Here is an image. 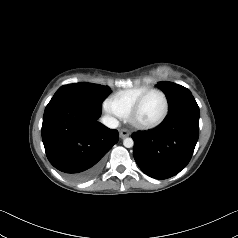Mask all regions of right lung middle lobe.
I'll return each instance as SVG.
<instances>
[{"label":"right lung middle lobe","instance_id":"obj_1","mask_svg":"<svg viewBox=\"0 0 238 238\" xmlns=\"http://www.w3.org/2000/svg\"><path fill=\"white\" fill-rule=\"evenodd\" d=\"M111 89L88 83L68 84L60 87L53 97L71 96L84 102L101 106Z\"/></svg>","mask_w":238,"mask_h":238}]
</instances>
